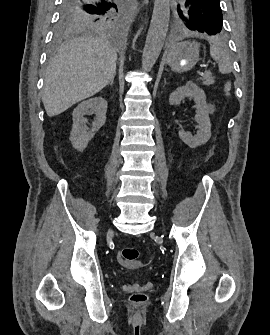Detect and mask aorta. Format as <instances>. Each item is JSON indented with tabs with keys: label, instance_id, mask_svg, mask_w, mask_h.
Here are the masks:
<instances>
[{
	"label": "aorta",
	"instance_id": "obj_1",
	"mask_svg": "<svg viewBox=\"0 0 270 335\" xmlns=\"http://www.w3.org/2000/svg\"><path fill=\"white\" fill-rule=\"evenodd\" d=\"M170 18V0H155L152 20L148 30L143 54V70L153 68L165 42Z\"/></svg>",
	"mask_w": 270,
	"mask_h": 335
}]
</instances>
